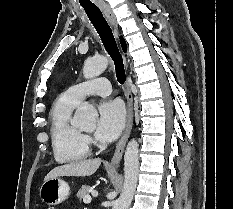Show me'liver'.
Wrapping results in <instances>:
<instances>
[{
	"label": "liver",
	"mask_w": 233,
	"mask_h": 209,
	"mask_svg": "<svg viewBox=\"0 0 233 209\" xmlns=\"http://www.w3.org/2000/svg\"><path fill=\"white\" fill-rule=\"evenodd\" d=\"M101 164L100 159L74 161L53 168L44 181L59 176H90L96 172Z\"/></svg>",
	"instance_id": "obj_1"
}]
</instances>
